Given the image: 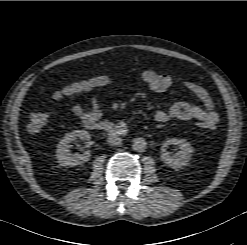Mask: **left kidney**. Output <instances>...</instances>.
I'll return each mask as SVG.
<instances>
[{"label":"left kidney","mask_w":247,"mask_h":245,"mask_svg":"<svg viewBox=\"0 0 247 245\" xmlns=\"http://www.w3.org/2000/svg\"><path fill=\"white\" fill-rule=\"evenodd\" d=\"M170 145H177L179 148L178 153H176L175 155H171L167 151V148ZM193 151H194L193 147L186 140L177 139V138H168L162 144L161 159L169 167H172L175 169L182 168L184 166H187L188 162L191 159Z\"/></svg>","instance_id":"obj_1"}]
</instances>
